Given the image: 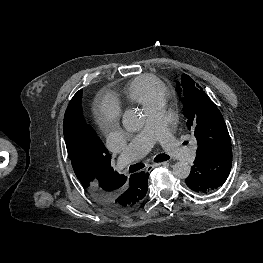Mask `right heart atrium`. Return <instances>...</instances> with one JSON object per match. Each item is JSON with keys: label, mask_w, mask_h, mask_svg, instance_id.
Returning <instances> with one entry per match:
<instances>
[{"label": "right heart atrium", "mask_w": 263, "mask_h": 263, "mask_svg": "<svg viewBox=\"0 0 263 263\" xmlns=\"http://www.w3.org/2000/svg\"><path fill=\"white\" fill-rule=\"evenodd\" d=\"M119 107L111 97L101 98L96 105V118L107 136L113 135L117 130Z\"/></svg>", "instance_id": "obj_1"}]
</instances>
